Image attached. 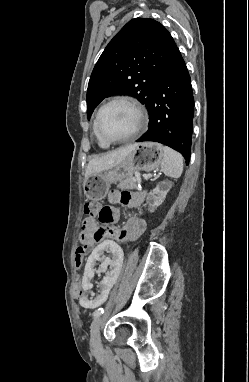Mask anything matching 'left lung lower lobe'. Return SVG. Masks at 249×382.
Here are the masks:
<instances>
[{"instance_id": "obj_1", "label": "left lung lower lobe", "mask_w": 249, "mask_h": 382, "mask_svg": "<svg viewBox=\"0 0 249 382\" xmlns=\"http://www.w3.org/2000/svg\"><path fill=\"white\" fill-rule=\"evenodd\" d=\"M147 110L149 128L137 142L154 141L167 145L180 152L188 164L194 98L191 79L178 48L160 77Z\"/></svg>"}]
</instances>
